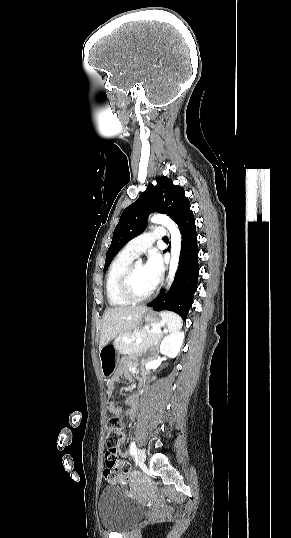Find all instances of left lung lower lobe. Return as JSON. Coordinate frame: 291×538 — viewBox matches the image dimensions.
Segmentation results:
<instances>
[{"label": "left lung lower lobe", "instance_id": "left-lung-lower-lobe-1", "mask_svg": "<svg viewBox=\"0 0 291 538\" xmlns=\"http://www.w3.org/2000/svg\"><path fill=\"white\" fill-rule=\"evenodd\" d=\"M182 235L179 267L170 290H164L147 306L155 311L170 310L178 313L183 319L193 303L197 290L199 275L198 246L195 219L192 211L188 212L178 223ZM165 252V251H164Z\"/></svg>", "mask_w": 291, "mask_h": 538}]
</instances>
